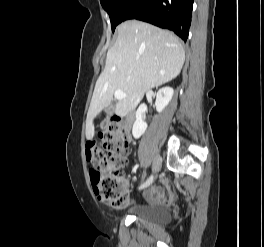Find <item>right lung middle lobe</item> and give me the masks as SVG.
<instances>
[{
    "label": "right lung middle lobe",
    "mask_w": 264,
    "mask_h": 247,
    "mask_svg": "<svg viewBox=\"0 0 264 247\" xmlns=\"http://www.w3.org/2000/svg\"><path fill=\"white\" fill-rule=\"evenodd\" d=\"M134 0H100L102 7L109 14L112 31L123 21L124 14Z\"/></svg>",
    "instance_id": "1"
}]
</instances>
